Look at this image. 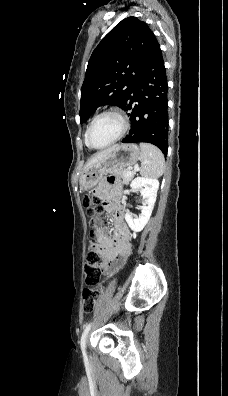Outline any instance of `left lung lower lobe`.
<instances>
[{
  "mask_svg": "<svg viewBox=\"0 0 228 396\" xmlns=\"http://www.w3.org/2000/svg\"><path fill=\"white\" fill-rule=\"evenodd\" d=\"M168 85L160 45L156 40L122 108L130 111L131 129L123 143L147 142L166 156L168 149Z\"/></svg>",
  "mask_w": 228,
  "mask_h": 396,
  "instance_id": "0a47b994",
  "label": "left lung lower lobe"
}]
</instances>
